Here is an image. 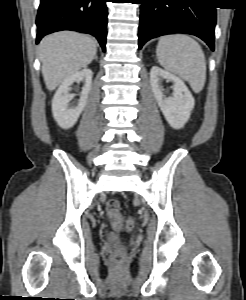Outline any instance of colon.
<instances>
[{
	"label": "colon",
	"mask_w": 246,
	"mask_h": 300,
	"mask_svg": "<svg viewBox=\"0 0 246 300\" xmlns=\"http://www.w3.org/2000/svg\"><path fill=\"white\" fill-rule=\"evenodd\" d=\"M119 208V202L115 199L109 200L106 204V211L113 222V226L116 229L129 231L133 228L134 221L131 217L121 216L119 213ZM124 257L125 253L122 249L116 250L112 255V259L115 262H122L124 260Z\"/></svg>",
	"instance_id": "colon-1"
}]
</instances>
